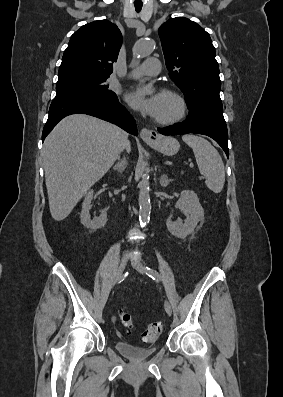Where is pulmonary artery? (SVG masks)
<instances>
[{"instance_id":"obj_1","label":"pulmonary artery","mask_w":283,"mask_h":397,"mask_svg":"<svg viewBox=\"0 0 283 397\" xmlns=\"http://www.w3.org/2000/svg\"><path fill=\"white\" fill-rule=\"evenodd\" d=\"M160 62L155 57H150L144 61V63L132 71L129 76L130 77H138V76H155L160 72Z\"/></svg>"}]
</instances>
